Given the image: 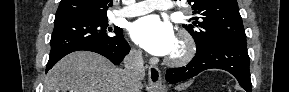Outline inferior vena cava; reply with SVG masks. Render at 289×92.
Listing matches in <instances>:
<instances>
[{
  "mask_svg": "<svg viewBox=\"0 0 289 92\" xmlns=\"http://www.w3.org/2000/svg\"><path fill=\"white\" fill-rule=\"evenodd\" d=\"M124 72L129 84L137 83L145 77L142 51L132 49L124 58Z\"/></svg>",
  "mask_w": 289,
  "mask_h": 92,
  "instance_id": "602c4592",
  "label": "inferior vena cava"
}]
</instances>
